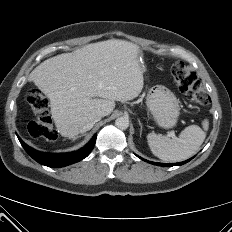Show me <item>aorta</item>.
Instances as JSON below:
<instances>
[{
  "mask_svg": "<svg viewBox=\"0 0 232 232\" xmlns=\"http://www.w3.org/2000/svg\"><path fill=\"white\" fill-rule=\"evenodd\" d=\"M115 125L119 129L125 130L129 127V119L126 117H119L115 120Z\"/></svg>",
  "mask_w": 232,
  "mask_h": 232,
  "instance_id": "1",
  "label": "aorta"
}]
</instances>
